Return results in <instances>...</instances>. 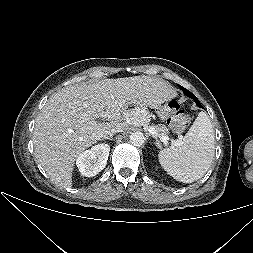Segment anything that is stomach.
I'll use <instances>...</instances> for the list:
<instances>
[{
    "instance_id": "1",
    "label": "stomach",
    "mask_w": 253,
    "mask_h": 253,
    "mask_svg": "<svg viewBox=\"0 0 253 253\" xmlns=\"http://www.w3.org/2000/svg\"><path fill=\"white\" fill-rule=\"evenodd\" d=\"M121 108L123 110H139L143 114H148L150 111H155L157 109L158 121L160 123H165L168 117V103H162L157 106L155 102H150L146 105L142 101H123L121 103Z\"/></svg>"
}]
</instances>
